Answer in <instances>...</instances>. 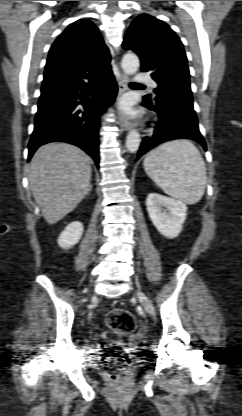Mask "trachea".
Masks as SVG:
<instances>
[{"instance_id": "obj_1", "label": "trachea", "mask_w": 242, "mask_h": 416, "mask_svg": "<svg viewBox=\"0 0 242 416\" xmlns=\"http://www.w3.org/2000/svg\"><path fill=\"white\" fill-rule=\"evenodd\" d=\"M129 86L136 87V86H144V85L139 84V83H130Z\"/></svg>"}]
</instances>
